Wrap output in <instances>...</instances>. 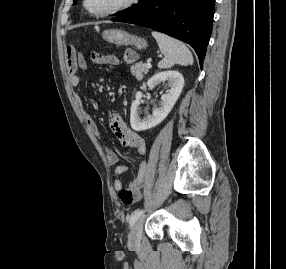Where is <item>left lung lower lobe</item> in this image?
I'll return each mask as SVG.
<instances>
[{
    "label": "left lung lower lobe",
    "instance_id": "0a47b994",
    "mask_svg": "<svg viewBox=\"0 0 286 269\" xmlns=\"http://www.w3.org/2000/svg\"><path fill=\"white\" fill-rule=\"evenodd\" d=\"M214 7L215 0H149L141 10L113 21L148 27L188 43L202 67Z\"/></svg>",
    "mask_w": 286,
    "mask_h": 269
}]
</instances>
